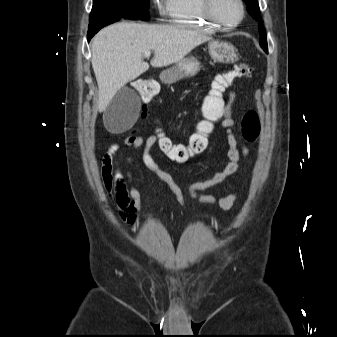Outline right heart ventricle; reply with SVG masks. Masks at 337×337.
I'll return each mask as SVG.
<instances>
[{
  "label": "right heart ventricle",
  "mask_w": 337,
  "mask_h": 337,
  "mask_svg": "<svg viewBox=\"0 0 337 337\" xmlns=\"http://www.w3.org/2000/svg\"><path fill=\"white\" fill-rule=\"evenodd\" d=\"M165 13L171 23L181 27L208 33L218 29L204 17L201 0H166Z\"/></svg>",
  "instance_id": "e07e8e85"
}]
</instances>
